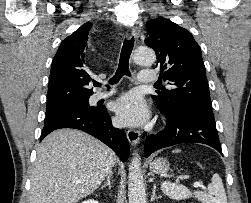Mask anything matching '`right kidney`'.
<instances>
[{
  "label": "right kidney",
  "instance_id": "ca27d5eb",
  "mask_svg": "<svg viewBox=\"0 0 251 203\" xmlns=\"http://www.w3.org/2000/svg\"><path fill=\"white\" fill-rule=\"evenodd\" d=\"M82 203H98V201L90 199V200H86Z\"/></svg>",
  "mask_w": 251,
  "mask_h": 203
}]
</instances>
